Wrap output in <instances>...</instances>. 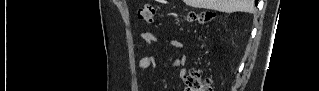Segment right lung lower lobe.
Masks as SVG:
<instances>
[{"label":"right lung lower lobe","mask_w":319,"mask_h":91,"mask_svg":"<svg viewBox=\"0 0 319 91\" xmlns=\"http://www.w3.org/2000/svg\"><path fill=\"white\" fill-rule=\"evenodd\" d=\"M255 3H256V5H257V3H258V0H255Z\"/></svg>","instance_id":"right-lung-lower-lobe-1"}]
</instances>
